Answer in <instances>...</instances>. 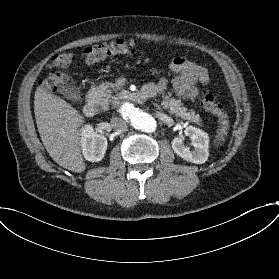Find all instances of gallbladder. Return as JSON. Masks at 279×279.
Returning a JSON list of instances; mask_svg holds the SVG:
<instances>
[{
	"instance_id": "bac80fb5",
	"label": "gallbladder",
	"mask_w": 279,
	"mask_h": 279,
	"mask_svg": "<svg viewBox=\"0 0 279 279\" xmlns=\"http://www.w3.org/2000/svg\"><path fill=\"white\" fill-rule=\"evenodd\" d=\"M58 93L62 94L65 99L73 103L82 104L84 102L81 88L70 81H60L56 84Z\"/></svg>"
}]
</instances>
